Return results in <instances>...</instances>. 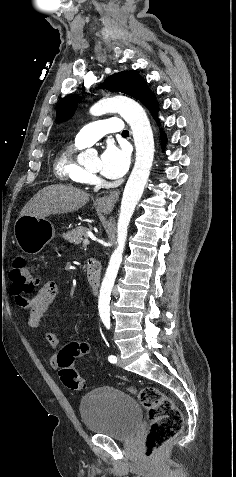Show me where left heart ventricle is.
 Listing matches in <instances>:
<instances>
[{"label": "left heart ventricle", "instance_id": "obj_1", "mask_svg": "<svg viewBox=\"0 0 236 477\" xmlns=\"http://www.w3.org/2000/svg\"><path fill=\"white\" fill-rule=\"evenodd\" d=\"M99 166H100V160L98 157L94 158V160L92 161L91 165H90V169L92 170H95V171H98L99 170Z\"/></svg>", "mask_w": 236, "mask_h": 477}]
</instances>
